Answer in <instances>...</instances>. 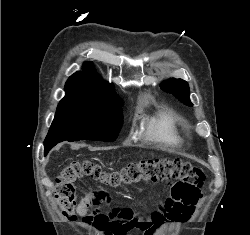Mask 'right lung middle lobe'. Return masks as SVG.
Instances as JSON below:
<instances>
[{"label":"right lung middle lobe","instance_id":"1","mask_svg":"<svg viewBox=\"0 0 250 235\" xmlns=\"http://www.w3.org/2000/svg\"><path fill=\"white\" fill-rule=\"evenodd\" d=\"M121 106L118 97L61 100L44 144L65 140L115 141L123 123Z\"/></svg>","mask_w":250,"mask_h":235}]
</instances>
